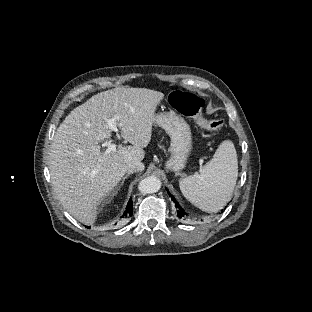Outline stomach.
I'll return each mask as SVG.
<instances>
[{"mask_svg":"<svg viewBox=\"0 0 312 312\" xmlns=\"http://www.w3.org/2000/svg\"><path fill=\"white\" fill-rule=\"evenodd\" d=\"M157 123L170 136V157L164 166L169 171L179 172L186 167L193 148L190 125L174 111L159 114Z\"/></svg>","mask_w":312,"mask_h":312,"instance_id":"0dacf381","label":"stomach"}]
</instances>
